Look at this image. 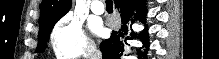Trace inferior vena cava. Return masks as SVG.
Returning <instances> with one entry per match:
<instances>
[{
    "label": "inferior vena cava",
    "instance_id": "602c4592",
    "mask_svg": "<svg viewBox=\"0 0 219 59\" xmlns=\"http://www.w3.org/2000/svg\"><path fill=\"white\" fill-rule=\"evenodd\" d=\"M102 53L97 49L95 44H89L86 47V59H101Z\"/></svg>",
    "mask_w": 219,
    "mask_h": 59
}]
</instances>
